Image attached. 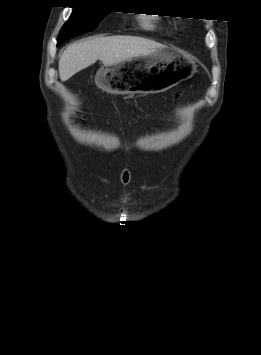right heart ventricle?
<instances>
[{
  "mask_svg": "<svg viewBox=\"0 0 261 355\" xmlns=\"http://www.w3.org/2000/svg\"><path fill=\"white\" fill-rule=\"evenodd\" d=\"M141 24L144 28L152 30L157 27V20L153 17H144L141 19Z\"/></svg>",
  "mask_w": 261,
  "mask_h": 355,
  "instance_id": "right-heart-ventricle-1",
  "label": "right heart ventricle"
}]
</instances>
